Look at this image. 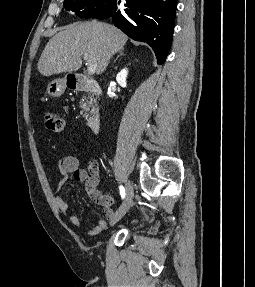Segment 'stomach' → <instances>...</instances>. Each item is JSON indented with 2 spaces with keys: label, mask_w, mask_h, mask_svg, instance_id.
I'll list each match as a JSON object with an SVG mask.
<instances>
[{
  "label": "stomach",
  "mask_w": 255,
  "mask_h": 287,
  "mask_svg": "<svg viewBox=\"0 0 255 287\" xmlns=\"http://www.w3.org/2000/svg\"><path fill=\"white\" fill-rule=\"evenodd\" d=\"M66 88V78H62V80H53L47 86V94L48 96H52V98H60L62 94H64Z\"/></svg>",
  "instance_id": "0dacf381"
}]
</instances>
